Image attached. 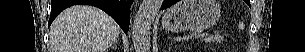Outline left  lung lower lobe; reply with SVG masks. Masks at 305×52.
<instances>
[{
    "instance_id": "obj_1",
    "label": "left lung lower lobe",
    "mask_w": 305,
    "mask_h": 52,
    "mask_svg": "<svg viewBox=\"0 0 305 52\" xmlns=\"http://www.w3.org/2000/svg\"><path fill=\"white\" fill-rule=\"evenodd\" d=\"M178 0H164L163 4H162V9L168 8L171 5H173L174 3H176Z\"/></svg>"
}]
</instances>
